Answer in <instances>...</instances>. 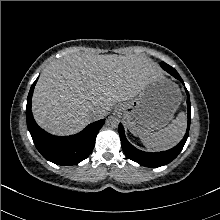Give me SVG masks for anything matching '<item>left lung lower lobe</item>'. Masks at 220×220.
I'll list each match as a JSON object with an SVG mask.
<instances>
[{
    "label": "left lung lower lobe",
    "instance_id": "obj_1",
    "mask_svg": "<svg viewBox=\"0 0 220 220\" xmlns=\"http://www.w3.org/2000/svg\"><path fill=\"white\" fill-rule=\"evenodd\" d=\"M161 67L166 70L169 74H171L173 77L176 79L180 80L183 84V80L178 74V72L165 62H161ZM186 93H187V106H188V124H187V130L185 133L184 138L181 140V142L175 146L174 148L163 151V152H156V153H150V152H143L141 150H138L134 146H132L128 140L126 139L124 128L122 124H119V135L121 138V146L126 154V156L147 167H160L163 165H166L170 163L172 160H174L178 154L181 152L189 134V128H190V120H191V105H190V98H189V93L187 89L185 88Z\"/></svg>",
    "mask_w": 220,
    "mask_h": 220
}]
</instances>
